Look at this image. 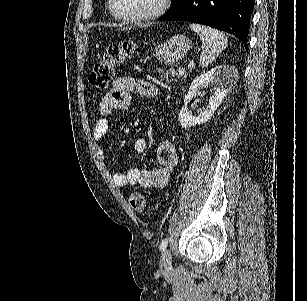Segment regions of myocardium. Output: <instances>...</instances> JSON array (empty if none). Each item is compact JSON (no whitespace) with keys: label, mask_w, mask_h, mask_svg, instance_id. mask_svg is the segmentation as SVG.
Wrapping results in <instances>:
<instances>
[{"label":"myocardium","mask_w":307,"mask_h":301,"mask_svg":"<svg viewBox=\"0 0 307 301\" xmlns=\"http://www.w3.org/2000/svg\"><path fill=\"white\" fill-rule=\"evenodd\" d=\"M169 2V0H161L156 11L123 10L122 13H119L117 1L110 0V7L107 10L115 16L116 22H150L151 18L161 17Z\"/></svg>","instance_id":"myocardium-1"}]
</instances>
